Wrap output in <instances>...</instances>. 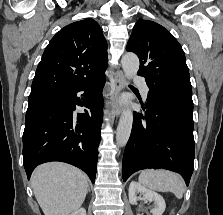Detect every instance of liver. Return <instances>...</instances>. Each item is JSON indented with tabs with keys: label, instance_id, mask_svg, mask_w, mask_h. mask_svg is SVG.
Segmentation results:
<instances>
[{
	"label": "liver",
	"instance_id": "liver-1",
	"mask_svg": "<svg viewBox=\"0 0 223 215\" xmlns=\"http://www.w3.org/2000/svg\"><path fill=\"white\" fill-rule=\"evenodd\" d=\"M31 185L45 215H69L82 205L87 193V177L81 169L51 161L36 167Z\"/></svg>",
	"mask_w": 223,
	"mask_h": 215
}]
</instances>
